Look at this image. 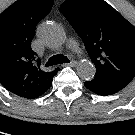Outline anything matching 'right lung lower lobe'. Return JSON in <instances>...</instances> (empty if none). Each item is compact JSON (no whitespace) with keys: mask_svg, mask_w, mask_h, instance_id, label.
I'll use <instances>...</instances> for the list:
<instances>
[{"mask_svg":"<svg viewBox=\"0 0 135 135\" xmlns=\"http://www.w3.org/2000/svg\"><path fill=\"white\" fill-rule=\"evenodd\" d=\"M42 94H43V93H42ZM42 94H40V95H42ZM40 95H37V96H34V97H30L29 99L37 98V97H39Z\"/></svg>","mask_w":135,"mask_h":135,"instance_id":"98d812e1","label":"right lung lower lobe"}]
</instances>
